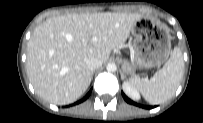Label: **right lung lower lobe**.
<instances>
[{
	"mask_svg": "<svg viewBox=\"0 0 203 123\" xmlns=\"http://www.w3.org/2000/svg\"><path fill=\"white\" fill-rule=\"evenodd\" d=\"M90 93H91V91H89L88 94L80 102L86 100L89 97Z\"/></svg>",
	"mask_w": 203,
	"mask_h": 123,
	"instance_id": "right-lung-lower-lobe-1",
	"label": "right lung lower lobe"
}]
</instances>
